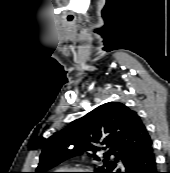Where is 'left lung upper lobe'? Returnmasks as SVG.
Wrapping results in <instances>:
<instances>
[{
  "mask_svg": "<svg viewBox=\"0 0 170 173\" xmlns=\"http://www.w3.org/2000/svg\"><path fill=\"white\" fill-rule=\"evenodd\" d=\"M151 141L135 111L122 103L108 102L52 135L43 148L35 173H49L52 167L84 152L100 161L96 155L99 151H104V165L94 173H113L117 161H109L111 155L116 160L122 159Z\"/></svg>",
  "mask_w": 170,
  "mask_h": 173,
  "instance_id": "1",
  "label": "left lung upper lobe"
}]
</instances>
